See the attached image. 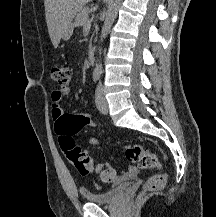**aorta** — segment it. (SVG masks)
<instances>
[{
	"label": "aorta",
	"instance_id": "762f6f07",
	"mask_svg": "<svg viewBox=\"0 0 216 217\" xmlns=\"http://www.w3.org/2000/svg\"><path fill=\"white\" fill-rule=\"evenodd\" d=\"M122 0H108V10L106 13V18L102 27V32L100 36V41L103 42L104 39L107 37L108 33L110 32L111 26L117 16L118 9L121 5ZM101 54V49L99 50ZM94 75L100 76L103 73V67L100 61L96 63L94 68Z\"/></svg>",
	"mask_w": 216,
	"mask_h": 217
}]
</instances>
